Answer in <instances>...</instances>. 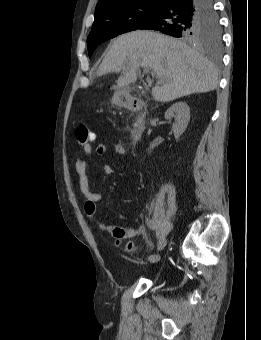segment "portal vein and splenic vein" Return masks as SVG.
<instances>
[{"label": "portal vein and splenic vein", "instance_id": "portal-vein-and-splenic-vein-1", "mask_svg": "<svg viewBox=\"0 0 261 340\" xmlns=\"http://www.w3.org/2000/svg\"><path fill=\"white\" fill-rule=\"evenodd\" d=\"M144 73H150L152 76H155V72L151 71L149 67H144L143 69Z\"/></svg>", "mask_w": 261, "mask_h": 340}]
</instances>
